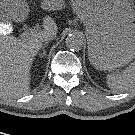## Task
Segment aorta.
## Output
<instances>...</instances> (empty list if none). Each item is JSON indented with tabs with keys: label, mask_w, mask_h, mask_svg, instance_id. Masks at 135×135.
Here are the masks:
<instances>
[{
	"label": "aorta",
	"mask_w": 135,
	"mask_h": 135,
	"mask_svg": "<svg viewBox=\"0 0 135 135\" xmlns=\"http://www.w3.org/2000/svg\"><path fill=\"white\" fill-rule=\"evenodd\" d=\"M65 43L70 50L79 51L84 45V36L80 32H73L67 36Z\"/></svg>",
	"instance_id": "762f6f07"
}]
</instances>
